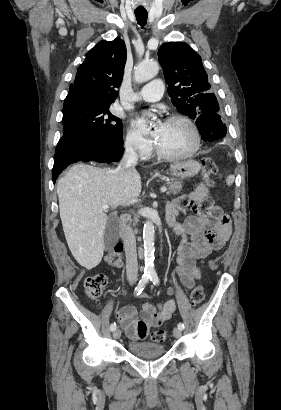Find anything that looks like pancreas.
<instances>
[{
	"label": "pancreas",
	"mask_w": 281,
	"mask_h": 410,
	"mask_svg": "<svg viewBox=\"0 0 281 410\" xmlns=\"http://www.w3.org/2000/svg\"><path fill=\"white\" fill-rule=\"evenodd\" d=\"M166 185L168 187V191H167L168 195L170 194L176 195L180 193V191L182 190V183L174 178H170V180L166 182ZM138 217L139 216H136L134 218L135 223L138 222Z\"/></svg>",
	"instance_id": "pancreas-1"
}]
</instances>
